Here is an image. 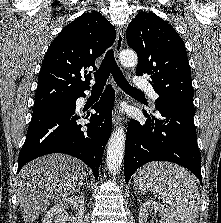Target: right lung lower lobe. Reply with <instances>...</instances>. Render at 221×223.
<instances>
[{
  "label": "right lung lower lobe",
  "mask_w": 221,
  "mask_h": 223,
  "mask_svg": "<svg viewBox=\"0 0 221 223\" xmlns=\"http://www.w3.org/2000/svg\"><path fill=\"white\" fill-rule=\"evenodd\" d=\"M33 112L26 140L19 153L18 173L29 161L50 153H65L85 162L98 178V167L111 134L112 108L115 93L108 85L99 102L92 108L95 114L78 112L76 100ZM82 119L90 123L82 124Z\"/></svg>",
  "instance_id": "right-lung-lower-lobe-1"
}]
</instances>
